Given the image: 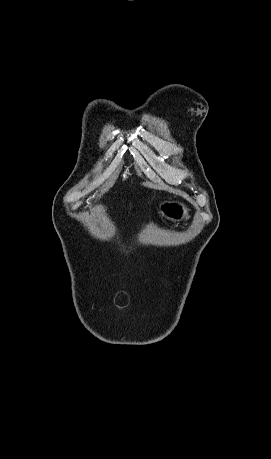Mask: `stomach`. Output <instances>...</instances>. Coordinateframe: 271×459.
<instances>
[{
  "label": "stomach",
  "instance_id": "1",
  "mask_svg": "<svg viewBox=\"0 0 271 459\" xmlns=\"http://www.w3.org/2000/svg\"><path fill=\"white\" fill-rule=\"evenodd\" d=\"M159 214L170 222H183L189 218L188 208L183 204H178V202H164L160 206Z\"/></svg>",
  "mask_w": 271,
  "mask_h": 459
}]
</instances>
